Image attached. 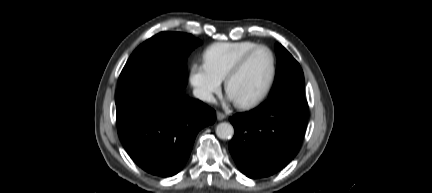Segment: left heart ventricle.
<instances>
[{
  "mask_svg": "<svg viewBox=\"0 0 432 193\" xmlns=\"http://www.w3.org/2000/svg\"><path fill=\"white\" fill-rule=\"evenodd\" d=\"M272 60L267 50L257 51L232 79L229 95L234 101H246L258 96L267 85Z\"/></svg>",
  "mask_w": 432,
  "mask_h": 193,
  "instance_id": "1",
  "label": "left heart ventricle"
}]
</instances>
